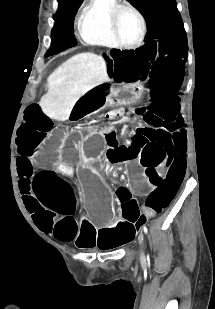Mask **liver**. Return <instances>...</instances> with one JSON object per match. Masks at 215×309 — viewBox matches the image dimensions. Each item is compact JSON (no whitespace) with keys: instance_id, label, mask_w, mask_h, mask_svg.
<instances>
[{"instance_id":"1","label":"liver","mask_w":215,"mask_h":309,"mask_svg":"<svg viewBox=\"0 0 215 309\" xmlns=\"http://www.w3.org/2000/svg\"><path fill=\"white\" fill-rule=\"evenodd\" d=\"M106 62L101 54L80 52L65 60L47 78L48 92L39 104L55 120H67L80 96L107 82Z\"/></svg>"}]
</instances>
